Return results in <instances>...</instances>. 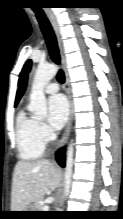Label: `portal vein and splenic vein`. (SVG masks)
<instances>
[{
    "instance_id": "obj_1",
    "label": "portal vein and splenic vein",
    "mask_w": 123,
    "mask_h": 219,
    "mask_svg": "<svg viewBox=\"0 0 123 219\" xmlns=\"http://www.w3.org/2000/svg\"><path fill=\"white\" fill-rule=\"evenodd\" d=\"M48 208H49V207H48L47 205H44V206H43V211H48Z\"/></svg>"
}]
</instances>
